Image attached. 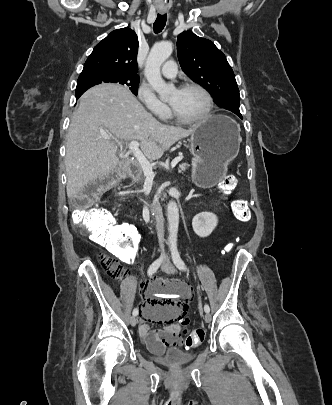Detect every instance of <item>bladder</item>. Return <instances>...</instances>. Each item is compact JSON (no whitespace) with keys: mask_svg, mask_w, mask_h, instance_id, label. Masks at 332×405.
I'll use <instances>...</instances> for the list:
<instances>
[{"mask_svg":"<svg viewBox=\"0 0 332 405\" xmlns=\"http://www.w3.org/2000/svg\"><path fill=\"white\" fill-rule=\"evenodd\" d=\"M145 346L147 351L155 356V360L158 363L168 366L186 365L193 361L197 356V353L195 352L184 351L174 346L161 345L160 351L154 350L153 347L146 343Z\"/></svg>","mask_w":332,"mask_h":405,"instance_id":"31cf9c89","label":"bladder"}]
</instances>
